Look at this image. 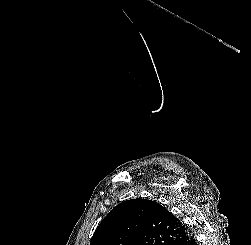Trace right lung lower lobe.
<instances>
[{
  "instance_id": "1",
  "label": "right lung lower lobe",
  "mask_w": 251,
  "mask_h": 245,
  "mask_svg": "<svg viewBox=\"0 0 251 245\" xmlns=\"http://www.w3.org/2000/svg\"><path fill=\"white\" fill-rule=\"evenodd\" d=\"M171 245H196V241L193 235L187 230L184 236H182L180 239H178Z\"/></svg>"
}]
</instances>
